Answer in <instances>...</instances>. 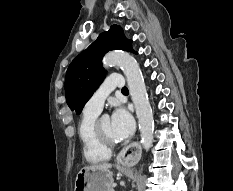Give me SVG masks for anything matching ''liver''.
I'll use <instances>...</instances> for the list:
<instances>
[{
    "label": "liver",
    "mask_w": 233,
    "mask_h": 191,
    "mask_svg": "<svg viewBox=\"0 0 233 191\" xmlns=\"http://www.w3.org/2000/svg\"><path fill=\"white\" fill-rule=\"evenodd\" d=\"M111 167H112V164L102 163V164H96V165L87 166L85 168L92 169V170H95V169H98V170H109Z\"/></svg>",
    "instance_id": "6515ba94"
}]
</instances>
